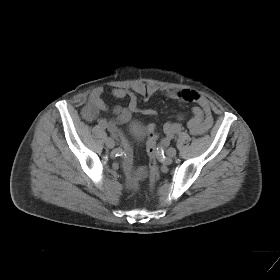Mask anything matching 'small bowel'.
Segmentation results:
<instances>
[{
    "label": "small bowel",
    "instance_id": "c3829d8e",
    "mask_svg": "<svg viewBox=\"0 0 280 280\" xmlns=\"http://www.w3.org/2000/svg\"><path fill=\"white\" fill-rule=\"evenodd\" d=\"M102 94L103 89L101 87L95 88L90 94L87 103L82 109V116L85 120L93 121L100 113L111 110L109 105L103 100ZM112 95L115 98L127 97L129 99L127 107L116 106L112 109L115 118L109 123V130L115 135H121L118 124L126 122L130 118L131 113L141 112L146 116H154L156 113L155 110L150 108L141 110L138 106L137 96L132 91L123 88H116L112 91ZM167 95L172 99L192 101L197 104V106L192 108V117L187 123L191 134L203 135L212 127L213 116L211 107L205 97L193 90L170 91ZM154 127L155 126L153 124H150L147 126V130L153 131ZM163 130L165 137L162 139L161 143L165 146L172 138L171 123H165ZM122 168L130 185H135L138 180L146 175V170L144 168H135L130 155L124 159Z\"/></svg>",
    "mask_w": 280,
    "mask_h": 280
}]
</instances>
